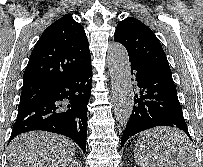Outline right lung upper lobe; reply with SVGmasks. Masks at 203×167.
I'll use <instances>...</instances> for the list:
<instances>
[{"label": "right lung upper lobe", "mask_w": 203, "mask_h": 167, "mask_svg": "<svg viewBox=\"0 0 203 167\" xmlns=\"http://www.w3.org/2000/svg\"><path fill=\"white\" fill-rule=\"evenodd\" d=\"M91 61L83 26L67 14L45 29L23 75L20 102L51 93L64 79Z\"/></svg>", "instance_id": "right-lung-upper-lobe-1"}]
</instances>
